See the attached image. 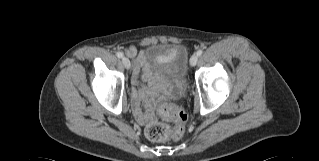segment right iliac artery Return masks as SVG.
<instances>
[{"mask_svg":"<svg viewBox=\"0 0 319 161\" xmlns=\"http://www.w3.org/2000/svg\"><path fill=\"white\" fill-rule=\"evenodd\" d=\"M117 57L122 58L123 57V53L122 52H117L116 53Z\"/></svg>","mask_w":319,"mask_h":161,"instance_id":"right-iliac-artery-1","label":"right iliac artery"}]
</instances>
